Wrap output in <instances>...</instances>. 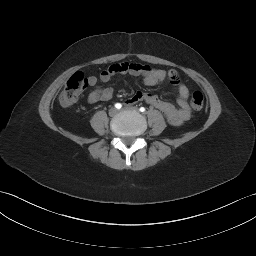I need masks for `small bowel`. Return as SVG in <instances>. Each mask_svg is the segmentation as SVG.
Here are the masks:
<instances>
[{"instance_id": "1", "label": "small bowel", "mask_w": 256, "mask_h": 256, "mask_svg": "<svg viewBox=\"0 0 256 256\" xmlns=\"http://www.w3.org/2000/svg\"><path fill=\"white\" fill-rule=\"evenodd\" d=\"M120 73H128L133 76H141L146 86L158 85L165 80H169L177 87V106L160 99L152 93L136 92L132 96L125 99V104L130 106L139 102H145L158 110H160L172 124L179 125L186 121L190 116L188 106L189 89L182 82L179 73L175 69L165 71L163 69L153 68L149 65L137 62L116 63L101 71L99 80L101 82H109L111 78ZM98 78L96 76L88 77L90 86L95 87L88 94L87 101L95 104L99 101H108L113 97L114 91L111 87H97Z\"/></svg>"}]
</instances>
